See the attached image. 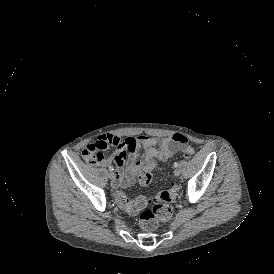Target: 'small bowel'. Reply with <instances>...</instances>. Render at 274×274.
<instances>
[{
  "label": "small bowel",
  "mask_w": 274,
  "mask_h": 274,
  "mask_svg": "<svg viewBox=\"0 0 274 274\" xmlns=\"http://www.w3.org/2000/svg\"><path fill=\"white\" fill-rule=\"evenodd\" d=\"M180 143L187 144V138L182 134H175L172 137L139 135L124 140L108 134L102 135L95 143L88 145L82 154L90 165L109 167L114 164L113 186L129 187L135 183L145 164L152 159L167 160ZM109 146L116 147V152L110 158L102 153ZM140 150L143 152L140 153Z\"/></svg>",
  "instance_id": "small-bowel-1"
}]
</instances>
